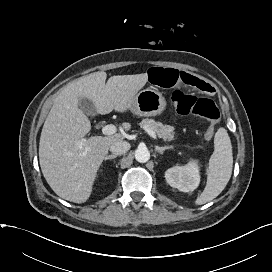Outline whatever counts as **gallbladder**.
I'll return each mask as SVG.
<instances>
[{
  "mask_svg": "<svg viewBox=\"0 0 272 272\" xmlns=\"http://www.w3.org/2000/svg\"><path fill=\"white\" fill-rule=\"evenodd\" d=\"M79 107L87 115H94L96 113L94 104L86 98L79 99Z\"/></svg>",
  "mask_w": 272,
  "mask_h": 272,
  "instance_id": "bac80fb5",
  "label": "gallbladder"
}]
</instances>
